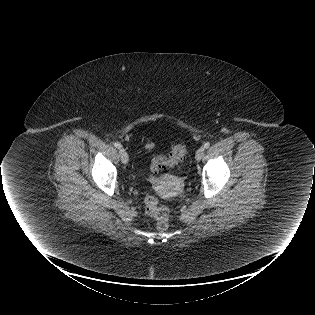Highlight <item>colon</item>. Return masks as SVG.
Masks as SVG:
<instances>
[{
    "label": "colon",
    "instance_id": "obj_1",
    "mask_svg": "<svg viewBox=\"0 0 315 315\" xmlns=\"http://www.w3.org/2000/svg\"><path fill=\"white\" fill-rule=\"evenodd\" d=\"M186 155V147L183 144L174 145L168 156L156 157L151 163V170L154 173L173 167L178 164ZM147 213L155 220L156 227L159 230H166L169 227L170 214L164 206H159L158 200L152 195L145 197Z\"/></svg>",
    "mask_w": 315,
    "mask_h": 315
}]
</instances>
